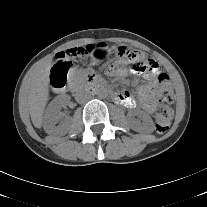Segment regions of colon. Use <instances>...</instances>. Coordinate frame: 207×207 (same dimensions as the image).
I'll list each match as a JSON object with an SVG mask.
<instances>
[{
  "mask_svg": "<svg viewBox=\"0 0 207 207\" xmlns=\"http://www.w3.org/2000/svg\"><path fill=\"white\" fill-rule=\"evenodd\" d=\"M102 51V47L86 46L60 52L57 55L58 61L53 64L52 72L49 75L50 84L55 88L64 87L68 82L72 63L84 64L91 60L94 54ZM115 56L127 60L132 69L140 70L150 77L157 76L161 71L160 64L154 58L127 47H118ZM158 83V104L155 112L156 130L158 133H165L168 131L173 118V110L168 104L174 99V90L168 75L165 73L158 75Z\"/></svg>",
  "mask_w": 207,
  "mask_h": 207,
  "instance_id": "5ec220e1",
  "label": "colon"
}]
</instances>
